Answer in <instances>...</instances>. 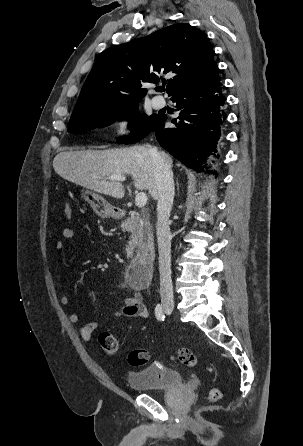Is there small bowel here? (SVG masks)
I'll use <instances>...</instances> for the list:
<instances>
[{"mask_svg": "<svg viewBox=\"0 0 303 446\" xmlns=\"http://www.w3.org/2000/svg\"><path fill=\"white\" fill-rule=\"evenodd\" d=\"M62 236L64 241H71L75 237V232L71 228H65L62 231ZM64 241L63 240L57 241L55 243V249L62 250L65 246ZM81 263L82 261L78 262V264ZM127 286L132 290V294L131 296L126 298L124 304L121 307L115 310L114 317L149 318L150 313L147 307L143 303L141 292L138 289H135L133 286H131V284H127ZM60 301L64 306H67L69 304V298L63 289H61L60 292ZM68 320L70 323L78 325L79 335L84 341H89L92 338L94 332L99 327V322L97 321L80 323L79 316L73 312H69Z\"/></svg>", "mask_w": 303, "mask_h": 446, "instance_id": "c3829d8e", "label": "small bowel"}]
</instances>
